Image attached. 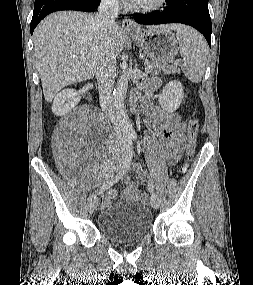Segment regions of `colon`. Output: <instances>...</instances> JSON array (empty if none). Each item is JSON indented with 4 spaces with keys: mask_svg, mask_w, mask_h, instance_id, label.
<instances>
[{
    "mask_svg": "<svg viewBox=\"0 0 253 285\" xmlns=\"http://www.w3.org/2000/svg\"><path fill=\"white\" fill-rule=\"evenodd\" d=\"M198 131H199V124L197 119L193 118L188 122L187 125V149H186V157H185V165L181 168V172L186 171V166L188 162L192 159V156L195 152L196 145H197V137H198ZM139 200L142 203H147L148 201V194L146 192H141L139 195ZM109 199L104 198L102 200V205L108 204Z\"/></svg>",
    "mask_w": 253,
    "mask_h": 285,
    "instance_id": "1",
    "label": "colon"
}]
</instances>
